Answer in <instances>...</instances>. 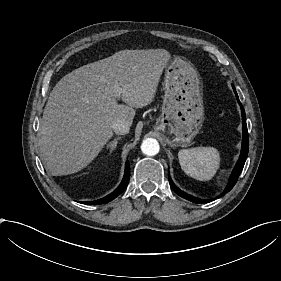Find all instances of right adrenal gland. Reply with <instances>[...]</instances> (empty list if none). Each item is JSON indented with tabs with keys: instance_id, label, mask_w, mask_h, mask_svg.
Masks as SVG:
<instances>
[{
	"instance_id": "obj_1",
	"label": "right adrenal gland",
	"mask_w": 281,
	"mask_h": 281,
	"mask_svg": "<svg viewBox=\"0 0 281 281\" xmlns=\"http://www.w3.org/2000/svg\"><path fill=\"white\" fill-rule=\"evenodd\" d=\"M122 139V137L120 136V137H116L115 139H113L112 141H110L109 143H107V147L108 146H111V152L114 150V149H116L117 147H118V142H119V140H121Z\"/></svg>"
}]
</instances>
